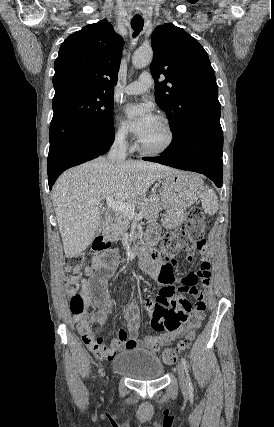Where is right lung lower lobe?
<instances>
[{
    "instance_id": "1",
    "label": "right lung lower lobe",
    "mask_w": 274,
    "mask_h": 427,
    "mask_svg": "<svg viewBox=\"0 0 274 427\" xmlns=\"http://www.w3.org/2000/svg\"><path fill=\"white\" fill-rule=\"evenodd\" d=\"M114 141V126L63 132L50 143L48 182L51 190L66 169L105 154Z\"/></svg>"
}]
</instances>
